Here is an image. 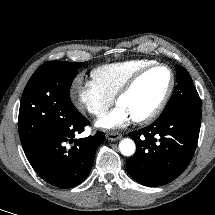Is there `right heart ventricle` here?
<instances>
[{"label": "right heart ventricle", "instance_id": "e07e8e85", "mask_svg": "<svg viewBox=\"0 0 215 215\" xmlns=\"http://www.w3.org/2000/svg\"><path fill=\"white\" fill-rule=\"evenodd\" d=\"M152 63L155 61L134 59L102 65L91 72L92 81L105 94L114 98L130 77Z\"/></svg>", "mask_w": 215, "mask_h": 215}]
</instances>
